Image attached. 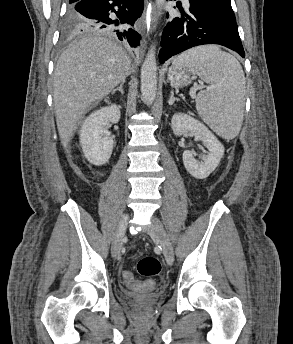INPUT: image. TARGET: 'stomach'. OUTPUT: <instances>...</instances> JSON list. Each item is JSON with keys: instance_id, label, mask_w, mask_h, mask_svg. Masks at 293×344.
Masks as SVG:
<instances>
[{"instance_id": "obj_1", "label": "stomach", "mask_w": 293, "mask_h": 344, "mask_svg": "<svg viewBox=\"0 0 293 344\" xmlns=\"http://www.w3.org/2000/svg\"><path fill=\"white\" fill-rule=\"evenodd\" d=\"M196 73L194 68L180 63L175 59L168 69V79L174 87L187 86L191 83V75Z\"/></svg>"}]
</instances>
